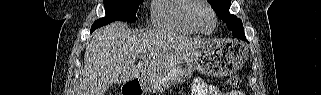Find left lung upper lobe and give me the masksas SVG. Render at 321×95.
Here are the masks:
<instances>
[{
  "mask_svg": "<svg viewBox=\"0 0 321 95\" xmlns=\"http://www.w3.org/2000/svg\"><path fill=\"white\" fill-rule=\"evenodd\" d=\"M216 14L226 23L229 30L232 31V35L238 38L239 35L244 34V28L240 19L229 13L231 0H207Z\"/></svg>",
  "mask_w": 321,
  "mask_h": 95,
  "instance_id": "5c2ea615",
  "label": "left lung upper lobe"
}]
</instances>
